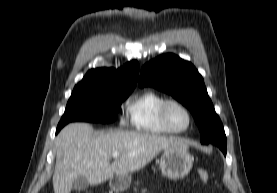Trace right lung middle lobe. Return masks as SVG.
<instances>
[{
	"instance_id": "obj_1",
	"label": "right lung middle lobe",
	"mask_w": 277,
	"mask_h": 193,
	"mask_svg": "<svg viewBox=\"0 0 277 193\" xmlns=\"http://www.w3.org/2000/svg\"><path fill=\"white\" fill-rule=\"evenodd\" d=\"M131 92H100L74 89L59 125L74 121L110 123Z\"/></svg>"
}]
</instances>
